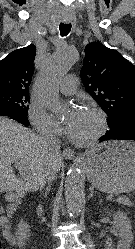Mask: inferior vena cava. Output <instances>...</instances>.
Listing matches in <instances>:
<instances>
[{
  "label": "inferior vena cava",
  "mask_w": 135,
  "mask_h": 249,
  "mask_svg": "<svg viewBox=\"0 0 135 249\" xmlns=\"http://www.w3.org/2000/svg\"><path fill=\"white\" fill-rule=\"evenodd\" d=\"M41 139L43 143L48 147L49 151L53 155H58L60 150L61 141L57 137L56 133L52 129H48L42 133ZM56 178V170L54 166L50 165L44 174L40 177L39 184L40 188H43L46 183L48 185L53 182Z\"/></svg>",
  "instance_id": "inferior-vena-cava-1"
}]
</instances>
